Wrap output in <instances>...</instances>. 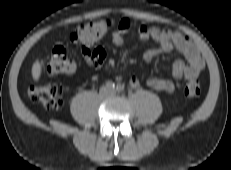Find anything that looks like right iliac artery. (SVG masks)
Returning a JSON list of instances; mask_svg holds the SVG:
<instances>
[{
	"mask_svg": "<svg viewBox=\"0 0 231 170\" xmlns=\"http://www.w3.org/2000/svg\"><path fill=\"white\" fill-rule=\"evenodd\" d=\"M106 87H107L108 89H110V90H113V89H115V83L112 82V81H107V82H106Z\"/></svg>",
	"mask_w": 231,
	"mask_h": 170,
	"instance_id": "82829eb1",
	"label": "right iliac artery"
}]
</instances>
